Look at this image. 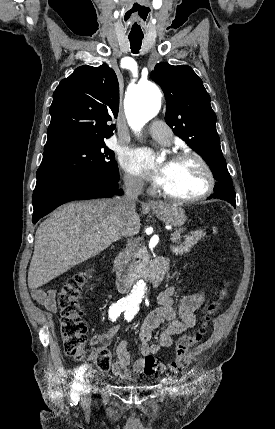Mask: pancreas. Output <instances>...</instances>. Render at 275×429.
I'll list each match as a JSON object with an SVG mask.
<instances>
[{
    "label": "pancreas",
    "mask_w": 275,
    "mask_h": 429,
    "mask_svg": "<svg viewBox=\"0 0 275 429\" xmlns=\"http://www.w3.org/2000/svg\"><path fill=\"white\" fill-rule=\"evenodd\" d=\"M205 232L202 230L193 231L190 233V235L186 236L185 242L183 244L173 246L172 252L175 255H182L183 253H187L190 251V249L197 244L199 240H202L205 237ZM179 238H177L178 240ZM140 263L138 265L139 268L145 267V265L148 263V257L146 254L145 249H142V251L139 254Z\"/></svg>",
    "instance_id": "pancreas-1"
}]
</instances>
